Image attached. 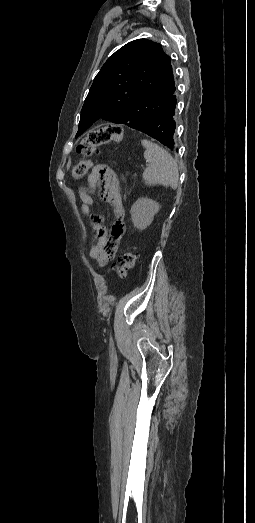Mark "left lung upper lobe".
<instances>
[{
    "label": "left lung upper lobe",
    "mask_w": 255,
    "mask_h": 523,
    "mask_svg": "<svg viewBox=\"0 0 255 523\" xmlns=\"http://www.w3.org/2000/svg\"><path fill=\"white\" fill-rule=\"evenodd\" d=\"M170 61L160 44L147 39L131 41L116 51L94 78L76 137L99 118L141 127L156 121L154 115H164L165 107L176 102Z\"/></svg>",
    "instance_id": "1"
}]
</instances>
